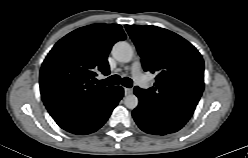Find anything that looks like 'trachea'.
Wrapping results in <instances>:
<instances>
[{"instance_id": "trachea-1", "label": "trachea", "mask_w": 248, "mask_h": 158, "mask_svg": "<svg viewBox=\"0 0 248 158\" xmlns=\"http://www.w3.org/2000/svg\"><path fill=\"white\" fill-rule=\"evenodd\" d=\"M120 83H122V85L127 88H131L133 85V81L130 78L124 77L123 79H121V77L118 75H112L105 80L97 81V84L99 85H117Z\"/></svg>"}]
</instances>
